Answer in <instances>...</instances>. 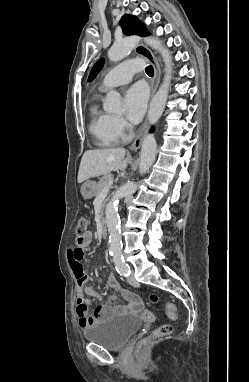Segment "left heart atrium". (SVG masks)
Returning <instances> with one entry per match:
<instances>
[{
  "instance_id": "left-heart-atrium-1",
  "label": "left heart atrium",
  "mask_w": 249,
  "mask_h": 382,
  "mask_svg": "<svg viewBox=\"0 0 249 382\" xmlns=\"http://www.w3.org/2000/svg\"><path fill=\"white\" fill-rule=\"evenodd\" d=\"M148 94L142 85H134L129 88L124 97L125 114L131 122H139L146 110Z\"/></svg>"
}]
</instances>
